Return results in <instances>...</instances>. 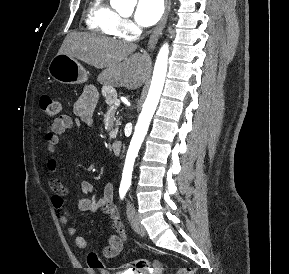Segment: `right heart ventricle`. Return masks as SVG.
Masks as SVG:
<instances>
[{"instance_id": "obj_1", "label": "right heart ventricle", "mask_w": 289, "mask_h": 274, "mask_svg": "<svg viewBox=\"0 0 289 274\" xmlns=\"http://www.w3.org/2000/svg\"><path fill=\"white\" fill-rule=\"evenodd\" d=\"M120 21V16L106 0H92L89 4L86 24L90 30L110 37L121 36Z\"/></svg>"}]
</instances>
